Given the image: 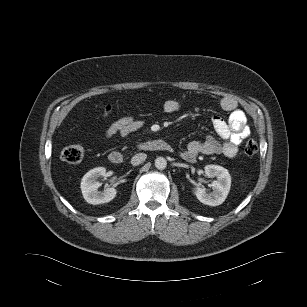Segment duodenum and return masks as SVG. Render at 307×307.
Listing matches in <instances>:
<instances>
[{
    "label": "duodenum",
    "instance_id": "1",
    "mask_svg": "<svg viewBox=\"0 0 307 307\" xmlns=\"http://www.w3.org/2000/svg\"><path fill=\"white\" fill-rule=\"evenodd\" d=\"M135 149L137 151H147V152H154V151H170L171 146L164 140L161 139H154V140H148L139 143ZM109 162L112 165L119 166L124 161V156L122 153L118 151H112L108 155Z\"/></svg>",
    "mask_w": 307,
    "mask_h": 307
}]
</instances>
